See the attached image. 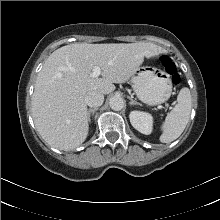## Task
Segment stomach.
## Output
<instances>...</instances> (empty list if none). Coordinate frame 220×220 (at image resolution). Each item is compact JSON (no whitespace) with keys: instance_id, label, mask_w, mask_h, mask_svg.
Masks as SVG:
<instances>
[{"instance_id":"1","label":"stomach","mask_w":220,"mask_h":220,"mask_svg":"<svg viewBox=\"0 0 220 220\" xmlns=\"http://www.w3.org/2000/svg\"><path fill=\"white\" fill-rule=\"evenodd\" d=\"M132 87L137 97L149 105L166 102L172 93L170 77L164 71L145 67L131 78Z\"/></svg>"}]
</instances>
